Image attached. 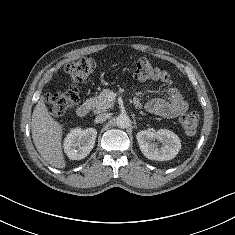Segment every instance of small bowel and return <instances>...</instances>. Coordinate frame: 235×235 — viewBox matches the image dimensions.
<instances>
[{"label": "small bowel", "instance_id": "c3829d8e", "mask_svg": "<svg viewBox=\"0 0 235 235\" xmlns=\"http://www.w3.org/2000/svg\"><path fill=\"white\" fill-rule=\"evenodd\" d=\"M135 101L137 102V106L140 107V100L135 99ZM145 108L151 114L172 119L184 114L188 109V104L183 99L182 95L174 90L169 99H151L146 103Z\"/></svg>", "mask_w": 235, "mask_h": 235}]
</instances>
